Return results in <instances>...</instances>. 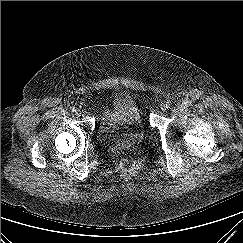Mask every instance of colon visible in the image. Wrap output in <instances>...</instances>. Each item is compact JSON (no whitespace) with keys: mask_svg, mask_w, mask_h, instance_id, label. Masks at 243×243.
I'll use <instances>...</instances> for the list:
<instances>
[{"mask_svg":"<svg viewBox=\"0 0 243 243\" xmlns=\"http://www.w3.org/2000/svg\"><path fill=\"white\" fill-rule=\"evenodd\" d=\"M121 169L125 173H134L137 171L138 166H137V163L133 159L125 158L121 162Z\"/></svg>","mask_w":243,"mask_h":243,"instance_id":"colon-1","label":"colon"}]
</instances>
